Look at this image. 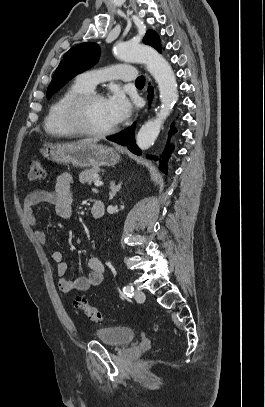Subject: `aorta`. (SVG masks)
Listing matches in <instances>:
<instances>
[{"label":"aorta","mask_w":265,"mask_h":407,"mask_svg":"<svg viewBox=\"0 0 265 407\" xmlns=\"http://www.w3.org/2000/svg\"><path fill=\"white\" fill-rule=\"evenodd\" d=\"M117 59L127 62L146 64L147 70L154 77L160 92L161 106L156 117L147 121L139 130L136 138L142 150L151 147L157 139L161 126L169 116L178 100L177 82L170 64L154 49L133 42L119 43L114 48Z\"/></svg>","instance_id":"aorta-1"}]
</instances>
